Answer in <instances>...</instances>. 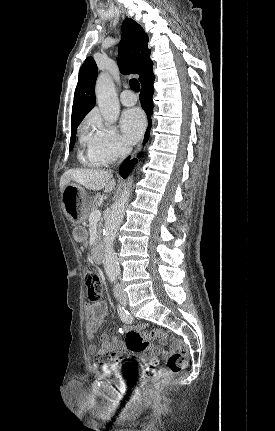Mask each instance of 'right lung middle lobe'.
I'll return each instance as SVG.
<instances>
[{
	"label": "right lung middle lobe",
	"mask_w": 275,
	"mask_h": 431,
	"mask_svg": "<svg viewBox=\"0 0 275 431\" xmlns=\"http://www.w3.org/2000/svg\"><path fill=\"white\" fill-rule=\"evenodd\" d=\"M77 127L78 126H75L72 128V135H71V139H70L69 151H71L73 149V146L75 144V136H76Z\"/></svg>",
	"instance_id": "dd1d6c3e"
}]
</instances>
